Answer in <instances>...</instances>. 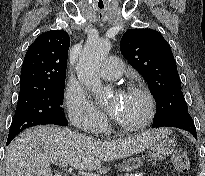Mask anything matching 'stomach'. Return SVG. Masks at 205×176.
<instances>
[{"label":"stomach","instance_id":"obj_1","mask_svg":"<svg viewBox=\"0 0 205 176\" xmlns=\"http://www.w3.org/2000/svg\"><path fill=\"white\" fill-rule=\"evenodd\" d=\"M175 140L168 135L162 136L153 142L148 148L149 158L151 160H162L170 155L175 147ZM143 163V157L129 158L121 165L122 171H134Z\"/></svg>","mask_w":205,"mask_h":176}]
</instances>
